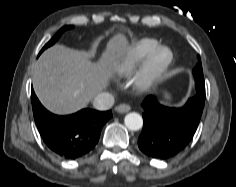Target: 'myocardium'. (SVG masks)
Returning <instances> with one entry per match:
<instances>
[{
  "label": "myocardium",
  "mask_w": 236,
  "mask_h": 187,
  "mask_svg": "<svg viewBox=\"0 0 236 187\" xmlns=\"http://www.w3.org/2000/svg\"><path fill=\"white\" fill-rule=\"evenodd\" d=\"M174 60L168 46H158L143 61L133 78L134 87L140 92H149L157 87Z\"/></svg>",
  "instance_id": "obj_1"
}]
</instances>
